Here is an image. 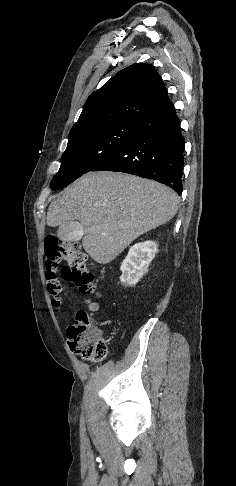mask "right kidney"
I'll return each instance as SVG.
<instances>
[{"mask_svg": "<svg viewBox=\"0 0 236 486\" xmlns=\"http://www.w3.org/2000/svg\"><path fill=\"white\" fill-rule=\"evenodd\" d=\"M157 251V244L154 241H145L133 245L120 267L122 271L121 282L128 286L136 285L147 272Z\"/></svg>", "mask_w": 236, "mask_h": 486, "instance_id": "obj_1", "label": "right kidney"}]
</instances>
